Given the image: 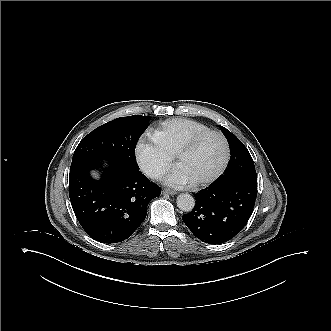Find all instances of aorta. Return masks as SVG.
<instances>
[{
  "label": "aorta",
  "mask_w": 331,
  "mask_h": 331,
  "mask_svg": "<svg viewBox=\"0 0 331 331\" xmlns=\"http://www.w3.org/2000/svg\"><path fill=\"white\" fill-rule=\"evenodd\" d=\"M176 202L178 208L184 212H191L195 206L194 198L187 193H182L178 195Z\"/></svg>",
  "instance_id": "obj_1"
}]
</instances>
